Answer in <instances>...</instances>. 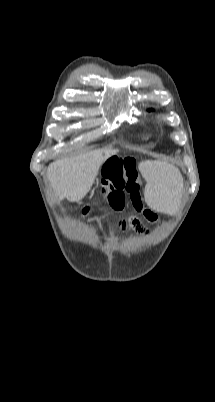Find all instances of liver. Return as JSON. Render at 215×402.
I'll list each match as a JSON object with an SVG mask.
<instances>
[{
    "label": "liver",
    "mask_w": 215,
    "mask_h": 402,
    "mask_svg": "<svg viewBox=\"0 0 215 402\" xmlns=\"http://www.w3.org/2000/svg\"><path fill=\"white\" fill-rule=\"evenodd\" d=\"M117 152V149H101L52 162L47 169V179L56 197L72 202L82 200L90 191L101 165Z\"/></svg>",
    "instance_id": "1"
}]
</instances>
